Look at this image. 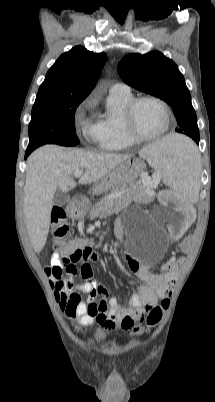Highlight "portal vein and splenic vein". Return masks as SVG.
Returning <instances> with one entry per match:
<instances>
[{
  "instance_id": "portal-vein-and-splenic-vein-1",
  "label": "portal vein and splenic vein",
  "mask_w": 215,
  "mask_h": 402,
  "mask_svg": "<svg viewBox=\"0 0 215 402\" xmlns=\"http://www.w3.org/2000/svg\"><path fill=\"white\" fill-rule=\"evenodd\" d=\"M82 173H83L82 170H76V171L74 172V176H75L76 178H79V177L82 175ZM156 185H157V181H154V182H153V186H156Z\"/></svg>"
}]
</instances>
